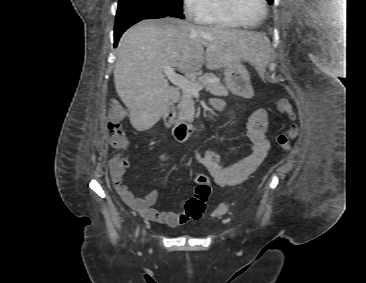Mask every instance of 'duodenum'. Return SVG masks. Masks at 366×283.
I'll return each instance as SVG.
<instances>
[{
	"label": "duodenum",
	"mask_w": 366,
	"mask_h": 283,
	"mask_svg": "<svg viewBox=\"0 0 366 283\" xmlns=\"http://www.w3.org/2000/svg\"><path fill=\"white\" fill-rule=\"evenodd\" d=\"M165 123L172 129L173 136L180 142H184L199 134L203 124H195L189 121L177 119L173 106H168L165 111Z\"/></svg>",
	"instance_id": "duodenum-1"
}]
</instances>
